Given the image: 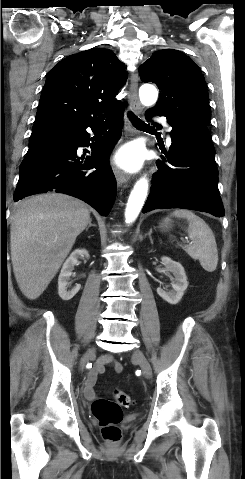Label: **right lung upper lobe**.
<instances>
[{
	"label": "right lung upper lobe",
	"instance_id": "obj_1",
	"mask_svg": "<svg viewBox=\"0 0 245 479\" xmlns=\"http://www.w3.org/2000/svg\"><path fill=\"white\" fill-rule=\"evenodd\" d=\"M125 65L109 49L92 48L62 59L48 74L33 132L105 118L120 102Z\"/></svg>",
	"mask_w": 245,
	"mask_h": 479
}]
</instances>
